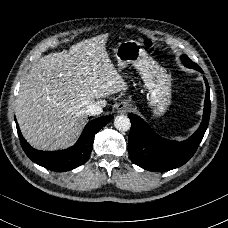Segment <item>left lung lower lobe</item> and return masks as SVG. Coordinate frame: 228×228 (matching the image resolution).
<instances>
[{
	"label": "left lung lower lobe",
	"mask_w": 228,
	"mask_h": 228,
	"mask_svg": "<svg viewBox=\"0 0 228 228\" xmlns=\"http://www.w3.org/2000/svg\"><path fill=\"white\" fill-rule=\"evenodd\" d=\"M200 72L203 73L201 70ZM203 119L198 130L187 140L176 142L161 138L140 117L128 114L131 129L128 139V152L131 160L143 169L164 172L184 165L196 152L210 118V94L207 79Z\"/></svg>",
	"instance_id": "obj_1"
}]
</instances>
